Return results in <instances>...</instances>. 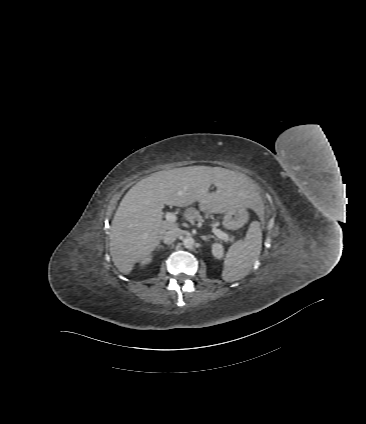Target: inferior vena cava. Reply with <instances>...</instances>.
I'll return each instance as SVG.
<instances>
[{
	"label": "inferior vena cava",
	"instance_id": "602c4592",
	"mask_svg": "<svg viewBox=\"0 0 366 424\" xmlns=\"http://www.w3.org/2000/svg\"><path fill=\"white\" fill-rule=\"evenodd\" d=\"M182 234L181 229L174 228L165 233L163 236V242L167 245L173 243Z\"/></svg>",
	"mask_w": 366,
	"mask_h": 424
}]
</instances>
